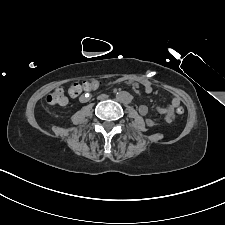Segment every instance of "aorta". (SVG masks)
Returning a JSON list of instances; mask_svg holds the SVG:
<instances>
[{
	"instance_id": "762f6f07",
	"label": "aorta",
	"mask_w": 225,
	"mask_h": 225,
	"mask_svg": "<svg viewBox=\"0 0 225 225\" xmlns=\"http://www.w3.org/2000/svg\"><path fill=\"white\" fill-rule=\"evenodd\" d=\"M116 97L122 103H129L132 101V95L126 91L117 93Z\"/></svg>"
}]
</instances>
